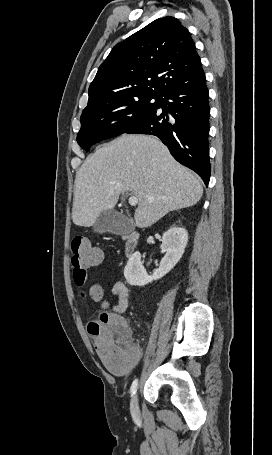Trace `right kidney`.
I'll return each mask as SVG.
<instances>
[{
	"label": "right kidney",
	"mask_w": 272,
	"mask_h": 455,
	"mask_svg": "<svg viewBox=\"0 0 272 455\" xmlns=\"http://www.w3.org/2000/svg\"><path fill=\"white\" fill-rule=\"evenodd\" d=\"M188 242V232L182 227H172L162 237L161 249L166 252L160 266L153 275L149 276L141 263L140 252H135L128 260L124 276L133 286H144L153 280H158L171 271L181 259Z\"/></svg>",
	"instance_id": "right-kidney-1"
}]
</instances>
